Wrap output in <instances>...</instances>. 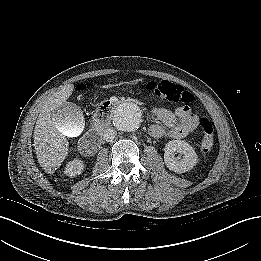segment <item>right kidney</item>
Listing matches in <instances>:
<instances>
[{"label": "right kidney", "mask_w": 261, "mask_h": 261, "mask_svg": "<svg viewBox=\"0 0 261 261\" xmlns=\"http://www.w3.org/2000/svg\"><path fill=\"white\" fill-rule=\"evenodd\" d=\"M84 167L83 161L74 159L67 163L65 173L70 177H75L83 172Z\"/></svg>", "instance_id": "ca27d5eb"}]
</instances>
